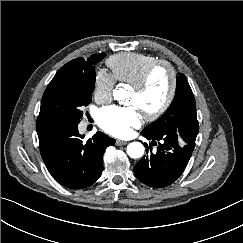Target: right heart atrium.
Listing matches in <instances>:
<instances>
[{
    "mask_svg": "<svg viewBox=\"0 0 243 243\" xmlns=\"http://www.w3.org/2000/svg\"><path fill=\"white\" fill-rule=\"evenodd\" d=\"M115 80L112 75L104 69H99L94 75L93 95L96 100L108 99L113 91Z\"/></svg>",
    "mask_w": 243,
    "mask_h": 243,
    "instance_id": "1",
    "label": "right heart atrium"
}]
</instances>
